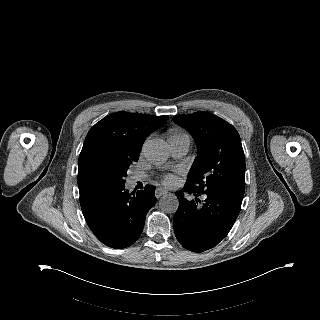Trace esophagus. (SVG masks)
<instances>
[{
	"label": "esophagus",
	"instance_id": "obj_1",
	"mask_svg": "<svg viewBox=\"0 0 320 320\" xmlns=\"http://www.w3.org/2000/svg\"><path fill=\"white\" fill-rule=\"evenodd\" d=\"M167 193H168V190H166L165 188H162V187L157 188L155 191V195L157 198H160L161 196H163Z\"/></svg>",
	"mask_w": 320,
	"mask_h": 320
}]
</instances>
